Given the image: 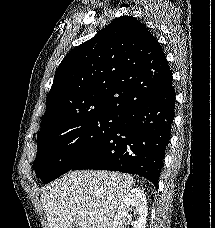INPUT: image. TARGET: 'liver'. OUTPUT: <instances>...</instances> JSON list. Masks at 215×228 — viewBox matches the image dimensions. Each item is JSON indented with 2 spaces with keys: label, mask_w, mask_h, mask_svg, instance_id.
I'll return each instance as SVG.
<instances>
[{
  "label": "liver",
  "mask_w": 215,
  "mask_h": 228,
  "mask_svg": "<svg viewBox=\"0 0 215 228\" xmlns=\"http://www.w3.org/2000/svg\"><path fill=\"white\" fill-rule=\"evenodd\" d=\"M132 186L130 174L78 170L42 188L40 202L49 228H111L113 216Z\"/></svg>",
  "instance_id": "obj_1"
}]
</instances>
